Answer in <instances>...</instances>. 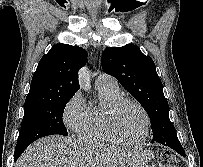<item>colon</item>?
I'll list each match as a JSON object with an SVG mask.
<instances>
[{
  "mask_svg": "<svg viewBox=\"0 0 203 167\" xmlns=\"http://www.w3.org/2000/svg\"><path fill=\"white\" fill-rule=\"evenodd\" d=\"M158 167H176V160L173 155L166 151H160L157 155Z\"/></svg>",
  "mask_w": 203,
  "mask_h": 167,
  "instance_id": "1",
  "label": "colon"
}]
</instances>
